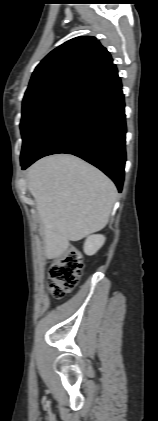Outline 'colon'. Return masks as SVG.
<instances>
[{
	"mask_svg": "<svg viewBox=\"0 0 158 421\" xmlns=\"http://www.w3.org/2000/svg\"><path fill=\"white\" fill-rule=\"evenodd\" d=\"M83 270L80 253L70 247L58 256L50 267L48 286L52 296L63 298L78 284Z\"/></svg>",
	"mask_w": 158,
	"mask_h": 421,
	"instance_id": "obj_1",
	"label": "colon"
}]
</instances>
